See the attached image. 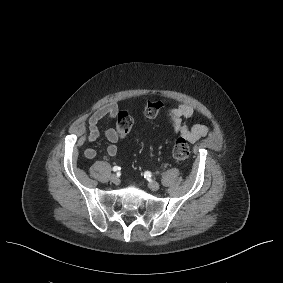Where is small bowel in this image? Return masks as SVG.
<instances>
[{"label":"small bowel","mask_w":283,"mask_h":283,"mask_svg":"<svg viewBox=\"0 0 283 283\" xmlns=\"http://www.w3.org/2000/svg\"><path fill=\"white\" fill-rule=\"evenodd\" d=\"M118 113V107L109 103L100 107L88 120V134L84 135V124L79 123L73 126L74 133L80 136L79 143L83 144L86 140L88 142L96 141L100 136L99 124L104 119L115 118ZM194 108L187 103H180L176 107L169 110L168 115L172 121V129L175 134L190 143L198 141L200 138L207 136L210 133V128L203 124H197L189 127L187 121L193 116ZM105 137L109 141L106 147V152L109 156H115L118 153L117 143L120 139L116 129L109 128L105 131ZM85 157L93 159L97 152L94 148L89 147L84 152Z\"/></svg>","instance_id":"small-bowel-1"}]
</instances>
